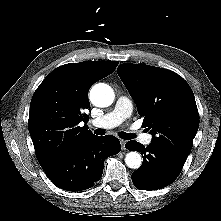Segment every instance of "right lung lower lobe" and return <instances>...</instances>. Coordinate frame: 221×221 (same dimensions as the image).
I'll return each instance as SVG.
<instances>
[{"label":"right lung lower lobe","mask_w":221,"mask_h":221,"mask_svg":"<svg viewBox=\"0 0 221 221\" xmlns=\"http://www.w3.org/2000/svg\"><path fill=\"white\" fill-rule=\"evenodd\" d=\"M120 150L118 138L112 135L94 136L43 170L63 190H85L101 178L105 159Z\"/></svg>","instance_id":"98d812e1"}]
</instances>
